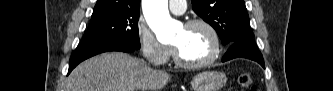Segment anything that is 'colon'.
Returning a JSON list of instances; mask_svg holds the SVG:
<instances>
[{
    "instance_id": "5ec220e1",
    "label": "colon",
    "mask_w": 333,
    "mask_h": 91,
    "mask_svg": "<svg viewBox=\"0 0 333 91\" xmlns=\"http://www.w3.org/2000/svg\"><path fill=\"white\" fill-rule=\"evenodd\" d=\"M238 84L244 90H250V91L255 90V86L253 85V80H252L250 74H248V73H242L239 75Z\"/></svg>"
}]
</instances>
